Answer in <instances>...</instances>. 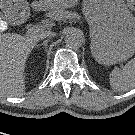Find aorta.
<instances>
[{"instance_id":"1","label":"aorta","mask_w":135,"mask_h":135,"mask_svg":"<svg viewBox=\"0 0 135 135\" xmlns=\"http://www.w3.org/2000/svg\"><path fill=\"white\" fill-rule=\"evenodd\" d=\"M84 42V34L80 29L71 28L65 35V43L68 47L79 48Z\"/></svg>"}]
</instances>
